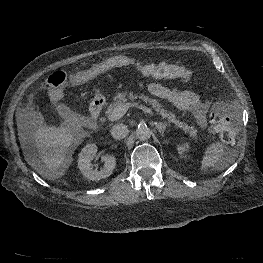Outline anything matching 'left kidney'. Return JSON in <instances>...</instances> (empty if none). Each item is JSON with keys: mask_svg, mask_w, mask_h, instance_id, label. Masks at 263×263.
Instances as JSON below:
<instances>
[{"mask_svg": "<svg viewBox=\"0 0 263 263\" xmlns=\"http://www.w3.org/2000/svg\"><path fill=\"white\" fill-rule=\"evenodd\" d=\"M190 146L188 143H184L182 145L177 146V151L180 155H182L184 152H187L189 150Z\"/></svg>", "mask_w": 263, "mask_h": 263, "instance_id": "5707ae66", "label": "left kidney"}]
</instances>
